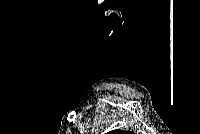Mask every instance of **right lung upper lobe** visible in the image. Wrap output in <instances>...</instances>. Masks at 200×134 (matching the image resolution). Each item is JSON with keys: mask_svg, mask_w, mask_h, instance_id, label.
Listing matches in <instances>:
<instances>
[{"mask_svg": "<svg viewBox=\"0 0 200 134\" xmlns=\"http://www.w3.org/2000/svg\"><path fill=\"white\" fill-rule=\"evenodd\" d=\"M111 133H124V131L116 130V131H112Z\"/></svg>", "mask_w": 200, "mask_h": 134, "instance_id": "cb5924a9", "label": "right lung upper lobe"}]
</instances>
